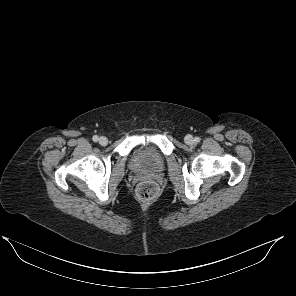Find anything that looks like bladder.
Here are the masks:
<instances>
[{
	"label": "bladder",
	"mask_w": 296,
	"mask_h": 296,
	"mask_svg": "<svg viewBox=\"0 0 296 296\" xmlns=\"http://www.w3.org/2000/svg\"><path fill=\"white\" fill-rule=\"evenodd\" d=\"M130 166L138 173L155 174L165 168V158L159 149L146 144L136 147L130 155Z\"/></svg>",
	"instance_id": "bladder-1"
}]
</instances>
